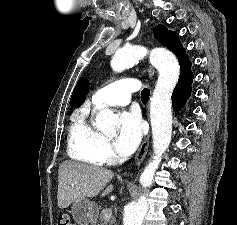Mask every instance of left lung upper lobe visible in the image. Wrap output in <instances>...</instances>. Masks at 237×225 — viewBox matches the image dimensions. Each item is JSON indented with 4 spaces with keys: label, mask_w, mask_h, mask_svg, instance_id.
Segmentation results:
<instances>
[{
    "label": "left lung upper lobe",
    "mask_w": 237,
    "mask_h": 225,
    "mask_svg": "<svg viewBox=\"0 0 237 225\" xmlns=\"http://www.w3.org/2000/svg\"><path fill=\"white\" fill-rule=\"evenodd\" d=\"M154 37L164 46L170 48L177 56L181 72L190 71L191 63L182 47L179 36L176 32L168 31L163 25H157L154 28Z\"/></svg>",
    "instance_id": "obj_1"
}]
</instances>
